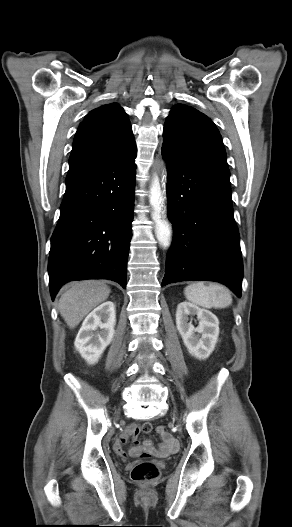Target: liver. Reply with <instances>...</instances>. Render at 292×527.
I'll list each match as a JSON object with an SVG mask.
<instances>
[{
  "instance_id": "liver-1",
  "label": "liver",
  "mask_w": 292,
  "mask_h": 527,
  "mask_svg": "<svg viewBox=\"0 0 292 527\" xmlns=\"http://www.w3.org/2000/svg\"><path fill=\"white\" fill-rule=\"evenodd\" d=\"M111 292L104 282L87 280L71 283L59 300L60 314L70 329L75 328L83 318Z\"/></svg>"
}]
</instances>
